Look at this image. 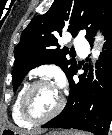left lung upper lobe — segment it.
Wrapping results in <instances>:
<instances>
[{"instance_id":"obj_1","label":"left lung upper lobe","mask_w":112,"mask_h":135,"mask_svg":"<svg viewBox=\"0 0 112 135\" xmlns=\"http://www.w3.org/2000/svg\"><path fill=\"white\" fill-rule=\"evenodd\" d=\"M111 20V0H54L45 14L31 20L14 49L13 90H17L31 69L43 64L60 66L69 78L77 64L66 58L69 51L59 48L57 38L64 31L75 37L85 30V38L90 43L94 40L96 27L104 31Z\"/></svg>"}]
</instances>
